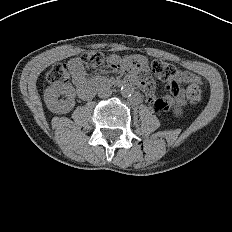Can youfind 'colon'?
<instances>
[{
	"label": "colon",
	"instance_id": "1",
	"mask_svg": "<svg viewBox=\"0 0 232 232\" xmlns=\"http://www.w3.org/2000/svg\"><path fill=\"white\" fill-rule=\"evenodd\" d=\"M104 54L99 51H92L84 54L79 61L83 63L88 69H95L100 67L104 62ZM153 74L159 80H170L177 73L176 68L166 62L154 60L151 63ZM47 81L51 84L66 83L69 81V73L65 63H56L47 73ZM187 99L192 103H197L201 100L202 89L201 86L190 84L186 87Z\"/></svg>",
	"mask_w": 232,
	"mask_h": 232
}]
</instances>
